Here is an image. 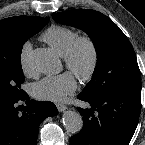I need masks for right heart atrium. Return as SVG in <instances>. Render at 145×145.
I'll use <instances>...</instances> for the list:
<instances>
[{
  "instance_id": "d8ad5b80",
  "label": "right heart atrium",
  "mask_w": 145,
  "mask_h": 145,
  "mask_svg": "<svg viewBox=\"0 0 145 145\" xmlns=\"http://www.w3.org/2000/svg\"><path fill=\"white\" fill-rule=\"evenodd\" d=\"M31 49V43L29 41H26L22 44L19 53V62L21 70L24 73V75L28 77H33L36 75L35 71L31 68L30 64Z\"/></svg>"
}]
</instances>
